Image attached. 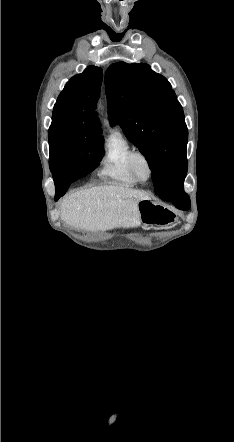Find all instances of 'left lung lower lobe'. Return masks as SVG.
<instances>
[{
	"mask_svg": "<svg viewBox=\"0 0 234 442\" xmlns=\"http://www.w3.org/2000/svg\"><path fill=\"white\" fill-rule=\"evenodd\" d=\"M161 199L172 202L177 208L181 210H188L190 208V199L184 191L177 196H165Z\"/></svg>",
	"mask_w": 234,
	"mask_h": 442,
	"instance_id": "left-lung-lower-lobe-1",
	"label": "left lung lower lobe"
}]
</instances>
